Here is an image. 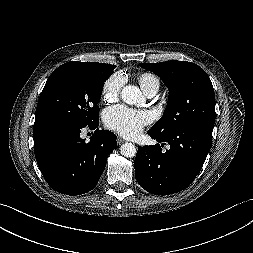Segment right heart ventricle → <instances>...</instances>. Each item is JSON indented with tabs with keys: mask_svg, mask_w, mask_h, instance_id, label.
I'll use <instances>...</instances> for the list:
<instances>
[{
	"mask_svg": "<svg viewBox=\"0 0 253 253\" xmlns=\"http://www.w3.org/2000/svg\"><path fill=\"white\" fill-rule=\"evenodd\" d=\"M137 80L145 93L158 91L160 88L159 78L151 72H143L137 76Z\"/></svg>",
	"mask_w": 253,
	"mask_h": 253,
	"instance_id": "e07e8e85",
	"label": "right heart ventricle"
}]
</instances>
